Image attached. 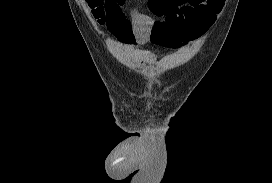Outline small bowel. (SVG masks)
I'll list each match as a JSON object with an SVG mask.
<instances>
[{
  "label": "small bowel",
  "instance_id": "small-bowel-1",
  "mask_svg": "<svg viewBox=\"0 0 272 183\" xmlns=\"http://www.w3.org/2000/svg\"><path fill=\"white\" fill-rule=\"evenodd\" d=\"M224 0H150L156 19L128 11L127 0H107L106 24L122 44L138 47L151 41L177 47L201 36L215 21Z\"/></svg>",
  "mask_w": 272,
  "mask_h": 183
}]
</instances>
